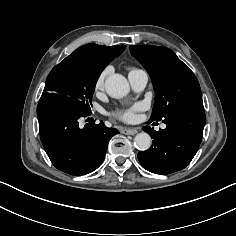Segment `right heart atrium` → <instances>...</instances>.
Returning a JSON list of instances; mask_svg holds the SVG:
<instances>
[{
  "label": "right heart atrium",
  "instance_id": "1",
  "mask_svg": "<svg viewBox=\"0 0 236 236\" xmlns=\"http://www.w3.org/2000/svg\"><path fill=\"white\" fill-rule=\"evenodd\" d=\"M112 67L106 66L104 67L97 75L95 82H94V88L96 90L101 89L104 86L105 80L108 77V75L111 73Z\"/></svg>",
  "mask_w": 236,
  "mask_h": 236
}]
</instances>
